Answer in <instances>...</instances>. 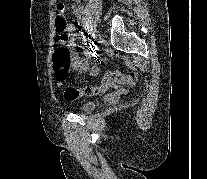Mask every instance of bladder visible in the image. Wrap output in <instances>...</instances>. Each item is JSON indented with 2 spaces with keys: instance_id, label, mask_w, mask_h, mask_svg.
Instances as JSON below:
<instances>
[{
  "instance_id": "obj_1",
  "label": "bladder",
  "mask_w": 207,
  "mask_h": 179,
  "mask_svg": "<svg viewBox=\"0 0 207 179\" xmlns=\"http://www.w3.org/2000/svg\"><path fill=\"white\" fill-rule=\"evenodd\" d=\"M97 102L95 100H85L80 105V111L84 114H90L96 107Z\"/></svg>"
}]
</instances>
